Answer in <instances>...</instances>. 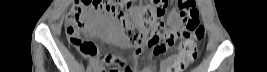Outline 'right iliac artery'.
<instances>
[{
  "label": "right iliac artery",
  "mask_w": 267,
  "mask_h": 72,
  "mask_svg": "<svg viewBox=\"0 0 267 72\" xmlns=\"http://www.w3.org/2000/svg\"><path fill=\"white\" fill-rule=\"evenodd\" d=\"M91 70H92L91 65H89V66L87 67L86 72H91Z\"/></svg>",
  "instance_id": "82829eb1"
}]
</instances>
